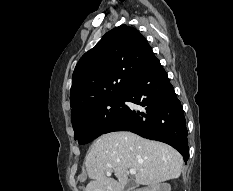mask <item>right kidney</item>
Listing matches in <instances>:
<instances>
[{"label":"right kidney","mask_w":233,"mask_h":191,"mask_svg":"<svg viewBox=\"0 0 233 191\" xmlns=\"http://www.w3.org/2000/svg\"><path fill=\"white\" fill-rule=\"evenodd\" d=\"M147 191H171V186L170 184L162 183V184L152 186Z\"/></svg>","instance_id":"ca27d5eb"}]
</instances>
